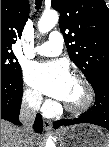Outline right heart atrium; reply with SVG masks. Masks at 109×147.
I'll use <instances>...</instances> for the list:
<instances>
[{"label": "right heart atrium", "instance_id": "1", "mask_svg": "<svg viewBox=\"0 0 109 147\" xmlns=\"http://www.w3.org/2000/svg\"><path fill=\"white\" fill-rule=\"evenodd\" d=\"M24 99L32 108L44 109L42 97L38 91L31 88H26L24 91ZM46 105H49V103Z\"/></svg>", "mask_w": 109, "mask_h": 147}]
</instances>
